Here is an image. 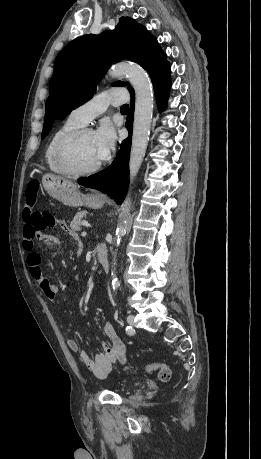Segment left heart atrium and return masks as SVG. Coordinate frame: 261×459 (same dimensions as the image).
Instances as JSON below:
<instances>
[{"label":"left heart atrium","mask_w":261,"mask_h":459,"mask_svg":"<svg viewBox=\"0 0 261 459\" xmlns=\"http://www.w3.org/2000/svg\"><path fill=\"white\" fill-rule=\"evenodd\" d=\"M101 161L106 160L116 144V134L109 122H103L93 133Z\"/></svg>","instance_id":"left-heart-atrium-1"}]
</instances>
